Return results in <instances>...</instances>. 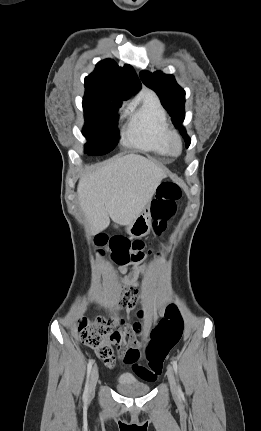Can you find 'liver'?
I'll return each instance as SVG.
<instances>
[{
    "instance_id": "6515ba94",
    "label": "liver",
    "mask_w": 261,
    "mask_h": 431,
    "mask_svg": "<svg viewBox=\"0 0 261 431\" xmlns=\"http://www.w3.org/2000/svg\"><path fill=\"white\" fill-rule=\"evenodd\" d=\"M164 177L161 167L137 154L111 159L97 171L84 175L77 192L91 232L106 229L110 218L119 225L134 221Z\"/></svg>"
}]
</instances>
